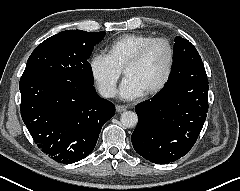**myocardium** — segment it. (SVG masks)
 Masks as SVG:
<instances>
[{
	"mask_svg": "<svg viewBox=\"0 0 240 191\" xmlns=\"http://www.w3.org/2000/svg\"><path fill=\"white\" fill-rule=\"evenodd\" d=\"M157 42H163L167 46L168 53H169L168 64L162 80L157 85H155L148 91L144 92L143 93L144 96H151L160 92L167 85L171 77L173 66H174V60H175V51L171 41L165 37H154L150 39L136 51V53L127 61V63L123 67V74L125 75L128 69L136 66L142 61V59L144 58L149 48Z\"/></svg>",
	"mask_w": 240,
	"mask_h": 191,
	"instance_id": "myocardium-1",
	"label": "myocardium"
}]
</instances>
